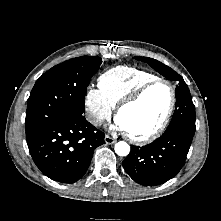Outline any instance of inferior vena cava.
I'll return each instance as SVG.
<instances>
[{
	"instance_id": "obj_1",
	"label": "inferior vena cava",
	"mask_w": 221,
	"mask_h": 221,
	"mask_svg": "<svg viewBox=\"0 0 221 221\" xmlns=\"http://www.w3.org/2000/svg\"><path fill=\"white\" fill-rule=\"evenodd\" d=\"M89 121L95 126H100L102 124V120L95 116H90Z\"/></svg>"
}]
</instances>
